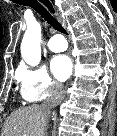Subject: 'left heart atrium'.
<instances>
[{
    "label": "left heart atrium",
    "mask_w": 117,
    "mask_h": 136,
    "mask_svg": "<svg viewBox=\"0 0 117 136\" xmlns=\"http://www.w3.org/2000/svg\"><path fill=\"white\" fill-rule=\"evenodd\" d=\"M51 68L59 81L66 80L71 74L72 65L68 56L59 55L52 59Z\"/></svg>",
    "instance_id": "obj_1"
}]
</instances>
